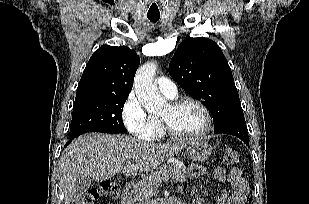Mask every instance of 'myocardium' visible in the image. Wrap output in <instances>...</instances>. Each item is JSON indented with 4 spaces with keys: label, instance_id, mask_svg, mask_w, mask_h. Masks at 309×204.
Returning a JSON list of instances; mask_svg holds the SVG:
<instances>
[{
    "label": "myocardium",
    "instance_id": "obj_1",
    "mask_svg": "<svg viewBox=\"0 0 309 204\" xmlns=\"http://www.w3.org/2000/svg\"><path fill=\"white\" fill-rule=\"evenodd\" d=\"M187 103L194 104L201 109L205 117V125L203 129L196 134L184 135V134L177 133L166 119L160 117V124H161L163 132L167 134L173 140H183V141L197 140V139L204 137L206 134H208L212 128L211 113L209 109L207 108V106L201 101H199L198 99H195L192 97H184V98L172 100L169 103V105L172 109H177L180 106L187 104Z\"/></svg>",
    "mask_w": 309,
    "mask_h": 204
}]
</instances>
